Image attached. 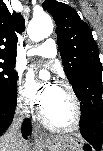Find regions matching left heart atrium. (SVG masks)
Returning <instances> with one entry per match:
<instances>
[{"label":"left heart atrium","instance_id":"1","mask_svg":"<svg viewBox=\"0 0 103 151\" xmlns=\"http://www.w3.org/2000/svg\"><path fill=\"white\" fill-rule=\"evenodd\" d=\"M25 80L28 95L43 109L50 102L55 85L51 83L40 84L37 81L35 70H29Z\"/></svg>","mask_w":103,"mask_h":151}]
</instances>
